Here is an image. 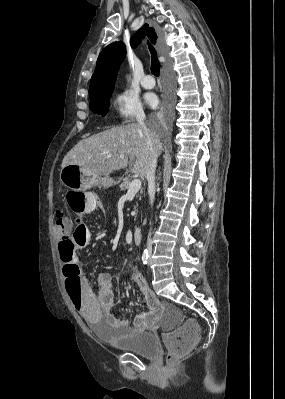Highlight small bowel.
Masks as SVG:
<instances>
[{
  "mask_svg": "<svg viewBox=\"0 0 285 399\" xmlns=\"http://www.w3.org/2000/svg\"><path fill=\"white\" fill-rule=\"evenodd\" d=\"M87 202L85 212L93 213L95 211L104 212V207L99 197L92 192L86 193ZM57 233L60 238L68 237L70 230L65 224L57 226ZM65 290L72 304L77 308L80 315L90 322H106L111 328L119 334H128L135 330H153L160 325L165 305L158 301L155 294L148 286L147 280L139 269H134L131 273L133 282L139 288L146 306L145 312H140L134 316L133 326H129V321L119 315L111 312L115 304L114 292L111 281L103 275L96 276V292L91 288L87 277L82 272L79 265L76 270L64 273ZM66 281H72L79 284L80 296L79 303L75 304L66 289Z\"/></svg>",
  "mask_w": 285,
  "mask_h": 399,
  "instance_id": "1",
  "label": "small bowel"
}]
</instances>
